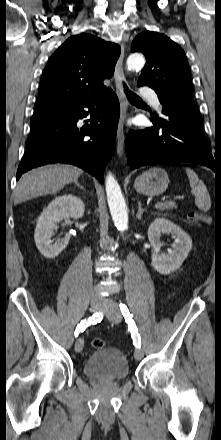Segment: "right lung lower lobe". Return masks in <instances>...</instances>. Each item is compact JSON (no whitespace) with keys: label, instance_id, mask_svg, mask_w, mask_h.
Returning a JSON list of instances; mask_svg holds the SVG:
<instances>
[{"label":"right lung lower lobe","instance_id":"right-lung-lower-lobe-1","mask_svg":"<svg viewBox=\"0 0 221 440\" xmlns=\"http://www.w3.org/2000/svg\"><path fill=\"white\" fill-rule=\"evenodd\" d=\"M119 115V101L111 89L96 97L35 108L17 180L32 168L60 162L76 165L103 182L104 167L115 150ZM87 116L90 119L79 126L78 120Z\"/></svg>","mask_w":221,"mask_h":440}]
</instances>
